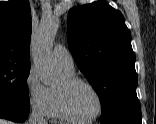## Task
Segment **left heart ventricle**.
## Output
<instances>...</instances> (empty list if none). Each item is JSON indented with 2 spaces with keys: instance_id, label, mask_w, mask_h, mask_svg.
Masks as SVG:
<instances>
[{
  "instance_id": "b2bd125f",
  "label": "left heart ventricle",
  "mask_w": 156,
  "mask_h": 124,
  "mask_svg": "<svg viewBox=\"0 0 156 124\" xmlns=\"http://www.w3.org/2000/svg\"><path fill=\"white\" fill-rule=\"evenodd\" d=\"M62 79L56 88L62 87ZM67 102L71 111L79 118L87 119L96 114L98 110V101L95 94L85 85L77 84L68 88Z\"/></svg>"
}]
</instances>
